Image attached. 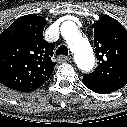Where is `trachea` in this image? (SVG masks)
<instances>
[{"label":"trachea","instance_id":"1","mask_svg":"<svg viewBox=\"0 0 127 127\" xmlns=\"http://www.w3.org/2000/svg\"><path fill=\"white\" fill-rule=\"evenodd\" d=\"M57 55H68V48L65 45H61L57 50H56Z\"/></svg>","mask_w":127,"mask_h":127}]
</instances>
